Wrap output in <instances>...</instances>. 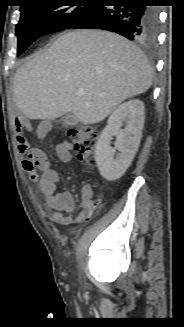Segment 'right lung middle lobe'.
<instances>
[{
  "label": "right lung middle lobe",
  "instance_id": "1",
  "mask_svg": "<svg viewBox=\"0 0 184 327\" xmlns=\"http://www.w3.org/2000/svg\"><path fill=\"white\" fill-rule=\"evenodd\" d=\"M41 3L43 1L20 10L21 18L16 25L18 55L23 53L37 38L71 27L94 7L93 5L48 6Z\"/></svg>",
  "mask_w": 184,
  "mask_h": 327
}]
</instances>
